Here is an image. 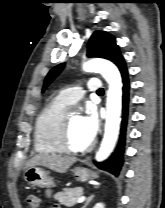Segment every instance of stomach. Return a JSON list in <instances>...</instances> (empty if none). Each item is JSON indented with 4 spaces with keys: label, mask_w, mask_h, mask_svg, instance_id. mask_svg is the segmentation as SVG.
<instances>
[{
    "label": "stomach",
    "mask_w": 165,
    "mask_h": 208,
    "mask_svg": "<svg viewBox=\"0 0 165 208\" xmlns=\"http://www.w3.org/2000/svg\"><path fill=\"white\" fill-rule=\"evenodd\" d=\"M72 172L80 182H86L98 177L96 173L82 167H76ZM24 179L29 185L40 188H51L54 185L49 172L37 166L27 168L24 172Z\"/></svg>",
    "instance_id": "0dacf381"
}]
</instances>
